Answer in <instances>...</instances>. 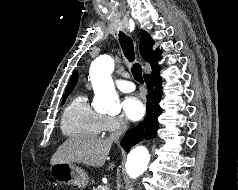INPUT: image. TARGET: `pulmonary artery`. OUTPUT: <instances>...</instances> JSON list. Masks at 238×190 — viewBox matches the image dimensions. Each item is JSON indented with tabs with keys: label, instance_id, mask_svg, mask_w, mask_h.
Returning <instances> with one entry per match:
<instances>
[{
	"label": "pulmonary artery",
	"instance_id": "obj_1",
	"mask_svg": "<svg viewBox=\"0 0 238 190\" xmlns=\"http://www.w3.org/2000/svg\"><path fill=\"white\" fill-rule=\"evenodd\" d=\"M117 88L122 92H132L135 89L134 84L131 81L127 80H117L116 81Z\"/></svg>",
	"mask_w": 238,
	"mask_h": 190
}]
</instances>
